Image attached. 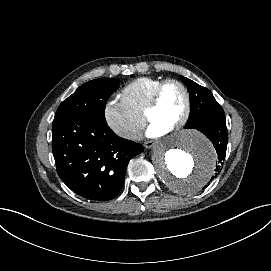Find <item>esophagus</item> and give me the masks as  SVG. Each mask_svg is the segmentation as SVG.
Listing matches in <instances>:
<instances>
[{"label": "esophagus", "mask_w": 271, "mask_h": 271, "mask_svg": "<svg viewBox=\"0 0 271 271\" xmlns=\"http://www.w3.org/2000/svg\"><path fill=\"white\" fill-rule=\"evenodd\" d=\"M154 145H155V141H154V140H149V141H146V142L144 143V146H145L147 149L152 148Z\"/></svg>", "instance_id": "1"}]
</instances>
